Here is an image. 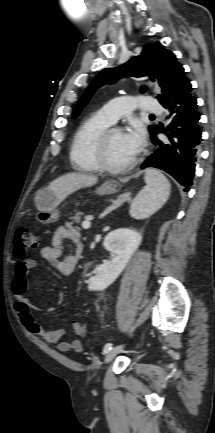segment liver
Returning a JSON list of instances; mask_svg holds the SVG:
<instances>
[{
	"mask_svg": "<svg viewBox=\"0 0 215 433\" xmlns=\"http://www.w3.org/2000/svg\"><path fill=\"white\" fill-rule=\"evenodd\" d=\"M98 178L92 175L81 173H67L52 181L50 188L59 200V203L73 192L95 185Z\"/></svg>",
	"mask_w": 215,
	"mask_h": 433,
	"instance_id": "obj_1",
	"label": "liver"
}]
</instances>
